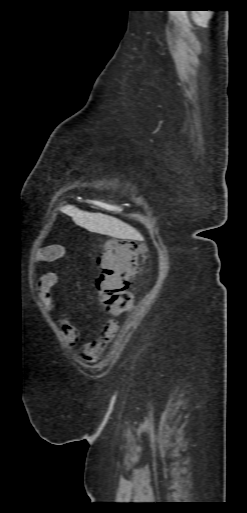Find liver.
Segmentation results:
<instances>
[{
  "label": "liver",
  "mask_w": 247,
  "mask_h": 513,
  "mask_svg": "<svg viewBox=\"0 0 247 513\" xmlns=\"http://www.w3.org/2000/svg\"><path fill=\"white\" fill-rule=\"evenodd\" d=\"M60 210L64 214L71 216L75 224L90 232L109 235L120 239H135L140 237V233L136 229L113 216L86 212L69 204L61 207Z\"/></svg>",
  "instance_id": "1"
}]
</instances>
